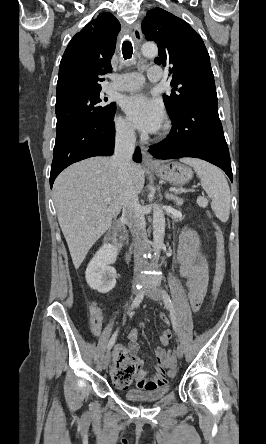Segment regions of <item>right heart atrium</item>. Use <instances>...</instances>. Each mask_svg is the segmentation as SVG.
<instances>
[{"label":"right heart atrium","instance_id":"1","mask_svg":"<svg viewBox=\"0 0 266 444\" xmlns=\"http://www.w3.org/2000/svg\"><path fill=\"white\" fill-rule=\"evenodd\" d=\"M115 127L117 135L122 139H130L134 135L132 124L122 116L116 118Z\"/></svg>","mask_w":266,"mask_h":444}]
</instances>
